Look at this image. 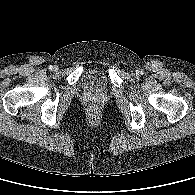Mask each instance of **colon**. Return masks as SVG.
<instances>
[{"label":"colon","instance_id":"1","mask_svg":"<svg viewBox=\"0 0 195 195\" xmlns=\"http://www.w3.org/2000/svg\"><path fill=\"white\" fill-rule=\"evenodd\" d=\"M89 108H90V110H91L92 112H96V111H97V106H96L95 104H91V105L89 106Z\"/></svg>","mask_w":195,"mask_h":195}]
</instances>
